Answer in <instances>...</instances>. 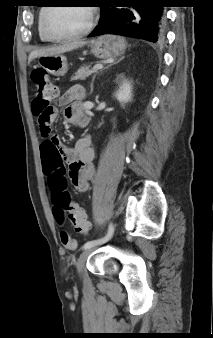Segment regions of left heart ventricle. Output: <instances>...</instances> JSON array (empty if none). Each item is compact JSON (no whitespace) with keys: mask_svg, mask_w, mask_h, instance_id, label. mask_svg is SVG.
<instances>
[{"mask_svg":"<svg viewBox=\"0 0 213 338\" xmlns=\"http://www.w3.org/2000/svg\"><path fill=\"white\" fill-rule=\"evenodd\" d=\"M89 22V10L80 6H55L48 16L47 28L54 36L80 32Z\"/></svg>","mask_w":213,"mask_h":338,"instance_id":"b2bd125f","label":"left heart ventricle"}]
</instances>
